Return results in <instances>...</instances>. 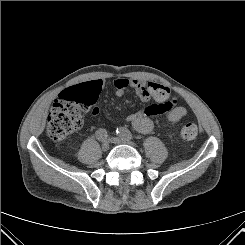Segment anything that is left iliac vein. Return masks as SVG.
I'll return each instance as SVG.
<instances>
[{
	"label": "left iliac vein",
	"instance_id": "1",
	"mask_svg": "<svg viewBox=\"0 0 245 245\" xmlns=\"http://www.w3.org/2000/svg\"><path fill=\"white\" fill-rule=\"evenodd\" d=\"M109 141L114 144H128V145L135 146V143L132 142L131 140H126L119 137H112L109 139Z\"/></svg>",
	"mask_w": 245,
	"mask_h": 245
}]
</instances>
